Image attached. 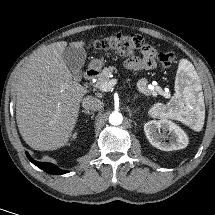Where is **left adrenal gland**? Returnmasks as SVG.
<instances>
[{
	"instance_id": "1",
	"label": "left adrenal gland",
	"mask_w": 215,
	"mask_h": 215,
	"mask_svg": "<svg viewBox=\"0 0 215 215\" xmlns=\"http://www.w3.org/2000/svg\"><path fill=\"white\" fill-rule=\"evenodd\" d=\"M136 98H138V96H135V97H134V100H135Z\"/></svg>"
}]
</instances>
